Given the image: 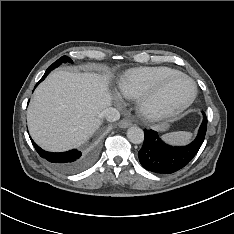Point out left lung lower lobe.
Segmentation results:
<instances>
[{
  "label": "left lung lower lobe",
  "mask_w": 234,
  "mask_h": 234,
  "mask_svg": "<svg viewBox=\"0 0 234 234\" xmlns=\"http://www.w3.org/2000/svg\"><path fill=\"white\" fill-rule=\"evenodd\" d=\"M203 121L196 139L187 146L173 147L165 144L154 130L144 131V143L138 157L141 165L148 171L170 174L186 166L200 149L206 134L207 117Z\"/></svg>",
  "instance_id": "left-lung-lower-lobe-1"
}]
</instances>
